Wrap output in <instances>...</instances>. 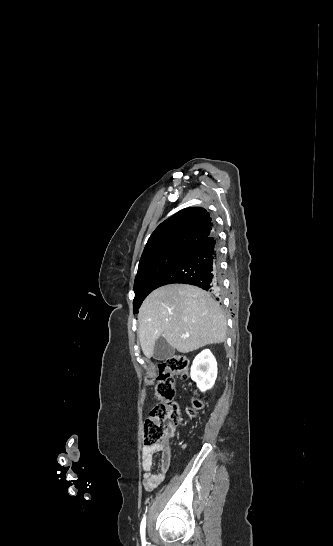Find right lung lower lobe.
Wrapping results in <instances>:
<instances>
[{"instance_id":"right-lung-lower-lobe-1","label":"right lung lower lobe","mask_w":333,"mask_h":546,"mask_svg":"<svg viewBox=\"0 0 333 546\" xmlns=\"http://www.w3.org/2000/svg\"><path fill=\"white\" fill-rule=\"evenodd\" d=\"M219 260L218 236L214 231L170 268L157 282L156 288L173 283L190 284L218 296L221 278Z\"/></svg>"}]
</instances>
